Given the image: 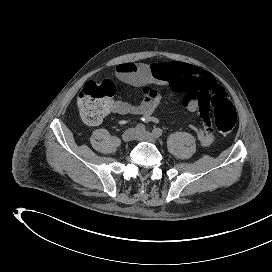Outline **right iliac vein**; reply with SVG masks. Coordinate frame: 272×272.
<instances>
[{"label": "right iliac vein", "mask_w": 272, "mask_h": 272, "mask_svg": "<svg viewBox=\"0 0 272 272\" xmlns=\"http://www.w3.org/2000/svg\"><path fill=\"white\" fill-rule=\"evenodd\" d=\"M137 133L138 132L134 128L127 129L123 133L122 139H123L124 142H130V141L136 139Z\"/></svg>", "instance_id": "1"}]
</instances>
